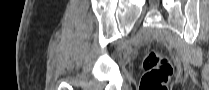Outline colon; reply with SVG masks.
<instances>
[{"label": "colon", "instance_id": "colon-1", "mask_svg": "<svg viewBox=\"0 0 209 90\" xmlns=\"http://www.w3.org/2000/svg\"><path fill=\"white\" fill-rule=\"evenodd\" d=\"M143 70L139 90L169 89L173 66L167 57L155 51L147 52L143 58Z\"/></svg>", "mask_w": 209, "mask_h": 90}]
</instances>
